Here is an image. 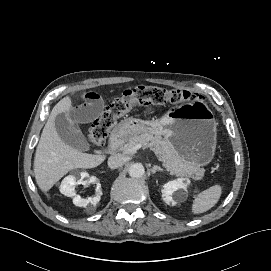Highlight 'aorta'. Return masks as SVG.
<instances>
[{
    "mask_svg": "<svg viewBox=\"0 0 271 271\" xmlns=\"http://www.w3.org/2000/svg\"><path fill=\"white\" fill-rule=\"evenodd\" d=\"M128 173L132 178H141L145 173V169L141 163H133L130 165Z\"/></svg>",
    "mask_w": 271,
    "mask_h": 271,
    "instance_id": "762f6f07",
    "label": "aorta"
}]
</instances>
